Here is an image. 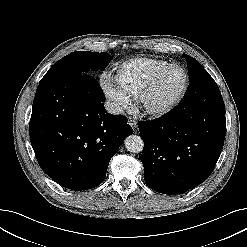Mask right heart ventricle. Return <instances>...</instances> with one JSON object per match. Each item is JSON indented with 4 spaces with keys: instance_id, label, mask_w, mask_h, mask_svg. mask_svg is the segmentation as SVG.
<instances>
[{
    "instance_id": "e07e8e85",
    "label": "right heart ventricle",
    "mask_w": 247,
    "mask_h": 247,
    "mask_svg": "<svg viewBox=\"0 0 247 247\" xmlns=\"http://www.w3.org/2000/svg\"><path fill=\"white\" fill-rule=\"evenodd\" d=\"M170 64L154 58H134L116 69L115 82L128 96H136L140 88L158 69Z\"/></svg>"
}]
</instances>
